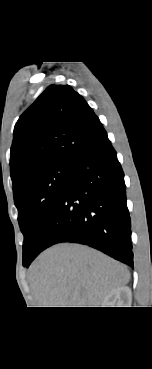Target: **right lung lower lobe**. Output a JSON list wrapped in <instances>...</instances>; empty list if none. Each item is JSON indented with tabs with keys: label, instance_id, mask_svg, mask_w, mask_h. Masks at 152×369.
Instances as JSON below:
<instances>
[{
	"label": "right lung lower lobe",
	"instance_id": "1",
	"mask_svg": "<svg viewBox=\"0 0 152 369\" xmlns=\"http://www.w3.org/2000/svg\"><path fill=\"white\" fill-rule=\"evenodd\" d=\"M124 173L104 132L70 162L64 187L44 226L28 267L61 242L91 246L133 267L131 220Z\"/></svg>",
	"mask_w": 152,
	"mask_h": 369
}]
</instances>
